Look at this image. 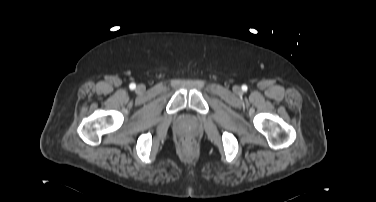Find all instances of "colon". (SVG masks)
Segmentation results:
<instances>
[{
	"mask_svg": "<svg viewBox=\"0 0 376 202\" xmlns=\"http://www.w3.org/2000/svg\"><path fill=\"white\" fill-rule=\"evenodd\" d=\"M183 143L185 145H191L193 143V139L190 138V137H185V138H183Z\"/></svg>",
	"mask_w": 376,
	"mask_h": 202,
	"instance_id": "colon-1",
	"label": "colon"
}]
</instances>
